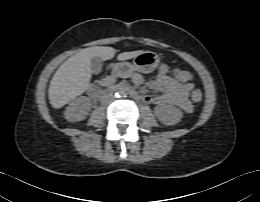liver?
<instances>
[{
  "label": "liver",
  "mask_w": 260,
  "mask_h": 202,
  "mask_svg": "<svg viewBox=\"0 0 260 202\" xmlns=\"http://www.w3.org/2000/svg\"><path fill=\"white\" fill-rule=\"evenodd\" d=\"M142 50L123 52L119 60L136 57ZM116 50L112 47L95 46L82 49L68 58L55 72L49 86L48 97L53 108L59 109L84 93L91 79V59L99 57L109 60L114 57Z\"/></svg>",
  "instance_id": "6515ba94"
}]
</instances>
